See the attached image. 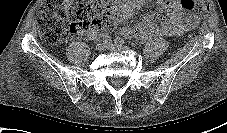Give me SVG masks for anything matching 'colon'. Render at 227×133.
<instances>
[{"label":"colon","instance_id":"colon-1","mask_svg":"<svg viewBox=\"0 0 227 133\" xmlns=\"http://www.w3.org/2000/svg\"><path fill=\"white\" fill-rule=\"evenodd\" d=\"M185 10L204 16L209 9L208 0H181ZM119 9L110 0H47L37 14L41 37L57 44L70 33H82L105 28Z\"/></svg>","mask_w":227,"mask_h":133}]
</instances>
